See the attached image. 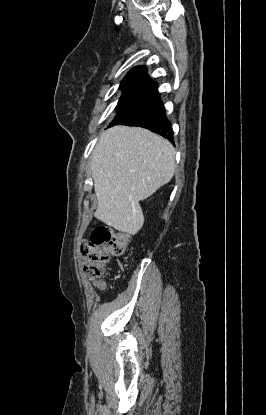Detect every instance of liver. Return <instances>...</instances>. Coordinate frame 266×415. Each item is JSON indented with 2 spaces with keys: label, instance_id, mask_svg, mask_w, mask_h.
<instances>
[{
  "label": "liver",
  "instance_id": "obj_1",
  "mask_svg": "<svg viewBox=\"0 0 266 415\" xmlns=\"http://www.w3.org/2000/svg\"><path fill=\"white\" fill-rule=\"evenodd\" d=\"M174 172L175 149L166 139L139 127L107 129L91 158L95 217L118 231L137 234L144 224L139 201L167 184Z\"/></svg>",
  "mask_w": 266,
  "mask_h": 415
}]
</instances>
